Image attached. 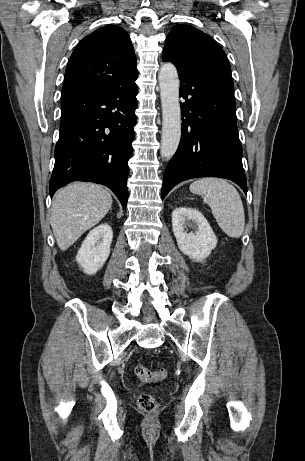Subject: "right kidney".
Segmentation results:
<instances>
[{
    "mask_svg": "<svg viewBox=\"0 0 305 461\" xmlns=\"http://www.w3.org/2000/svg\"><path fill=\"white\" fill-rule=\"evenodd\" d=\"M113 231L109 224H101L92 229L78 250L76 261L88 275L95 274L103 267L110 254Z\"/></svg>",
    "mask_w": 305,
    "mask_h": 461,
    "instance_id": "1",
    "label": "right kidney"
}]
</instances>
